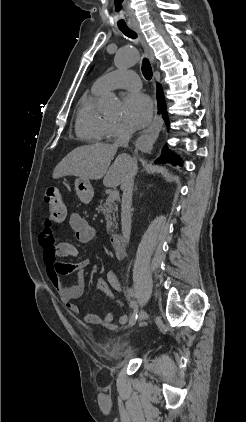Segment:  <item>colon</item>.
Masks as SVG:
<instances>
[{
    "instance_id": "5ec220e1",
    "label": "colon",
    "mask_w": 246,
    "mask_h": 422,
    "mask_svg": "<svg viewBox=\"0 0 246 422\" xmlns=\"http://www.w3.org/2000/svg\"><path fill=\"white\" fill-rule=\"evenodd\" d=\"M45 201L49 206L50 217L54 222H60L65 217L63 194L56 187H49L46 191Z\"/></svg>"
}]
</instances>
